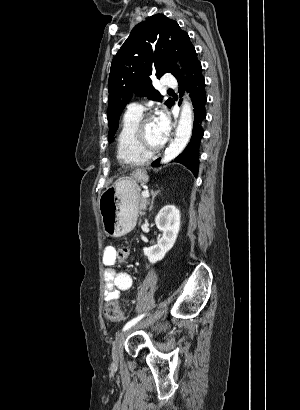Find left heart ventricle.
<instances>
[{"instance_id": "obj_1", "label": "left heart ventricle", "mask_w": 300, "mask_h": 410, "mask_svg": "<svg viewBox=\"0 0 300 410\" xmlns=\"http://www.w3.org/2000/svg\"><path fill=\"white\" fill-rule=\"evenodd\" d=\"M144 133L146 137V141L149 145L157 146L164 142L162 137L160 136L154 120H149L144 126Z\"/></svg>"}]
</instances>
